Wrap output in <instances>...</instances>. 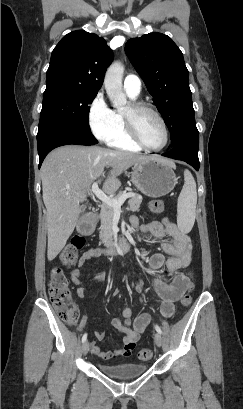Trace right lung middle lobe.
<instances>
[{
	"mask_svg": "<svg viewBox=\"0 0 243 409\" xmlns=\"http://www.w3.org/2000/svg\"><path fill=\"white\" fill-rule=\"evenodd\" d=\"M97 93L65 82H46L38 132L52 125L91 131L89 110Z\"/></svg>",
	"mask_w": 243,
	"mask_h": 409,
	"instance_id": "obj_1",
	"label": "right lung middle lobe"
}]
</instances>
